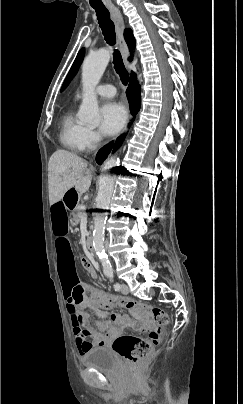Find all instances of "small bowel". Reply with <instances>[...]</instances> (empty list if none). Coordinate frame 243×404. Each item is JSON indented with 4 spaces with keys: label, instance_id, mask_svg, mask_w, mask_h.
I'll use <instances>...</instances> for the list:
<instances>
[{
    "label": "small bowel",
    "instance_id": "c3829d8e",
    "mask_svg": "<svg viewBox=\"0 0 243 404\" xmlns=\"http://www.w3.org/2000/svg\"><path fill=\"white\" fill-rule=\"evenodd\" d=\"M50 221L55 237L57 265L67 311L73 326L76 346L82 356L90 348L109 345L114 338L120 336L122 322L117 314H112V322L110 324L101 322L100 329H97L90 325L88 314L78 310L79 304L88 303V298L85 295L87 288L79 282L76 274L74 256L68 236V208L63 196L55 199L51 204ZM90 275L95 278V271L91 270ZM88 337L91 339L90 341L87 339Z\"/></svg>",
    "mask_w": 243,
    "mask_h": 404
}]
</instances>
